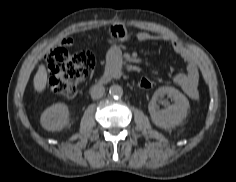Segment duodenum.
I'll return each mask as SVG.
<instances>
[{"mask_svg": "<svg viewBox=\"0 0 236 182\" xmlns=\"http://www.w3.org/2000/svg\"><path fill=\"white\" fill-rule=\"evenodd\" d=\"M121 63H114L106 67L104 73L100 77L99 84H104L116 78L120 74Z\"/></svg>", "mask_w": 236, "mask_h": 182, "instance_id": "410a0bca", "label": "duodenum"}]
</instances>
